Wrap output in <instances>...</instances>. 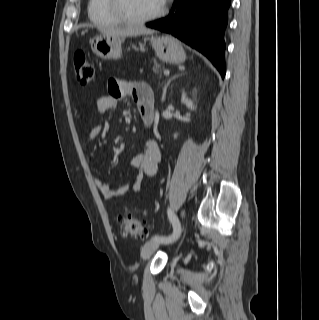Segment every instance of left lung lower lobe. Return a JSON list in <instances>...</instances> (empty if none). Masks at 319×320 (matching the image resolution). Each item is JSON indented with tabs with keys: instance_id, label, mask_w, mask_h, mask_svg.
Segmentation results:
<instances>
[{
	"instance_id": "left-lung-lower-lobe-1",
	"label": "left lung lower lobe",
	"mask_w": 319,
	"mask_h": 320,
	"mask_svg": "<svg viewBox=\"0 0 319 320\" xmlns=\"http://www.w3.org/2000/svg\"><path fill=\"white\" fill-rule=\"evenodd\" d=\"M230 0H175L166 18L146 23L203 53L225 76L224 31Z\"/></svg>"
}]
</instances>
